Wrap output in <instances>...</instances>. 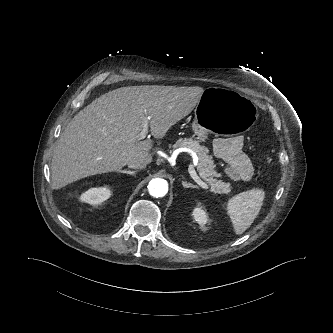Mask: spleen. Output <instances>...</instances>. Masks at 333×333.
Listing matches in <instances>:
<instances>
[{"label":"spleen","instance_id":"spleen-1","mask_svg":"<svg viewBox=\"0 0 333 333\" xmlns=\"http://www.w3.org/2000/svg\"><path fill=\"white\" fill-rule=\"evenodd\" d=\"M264 191L252 189L233 196L228 201V215L236 234H242L257 217L264 200Z\"/></svg>","mask_w":333,"mask_h":333}]
</instances>
